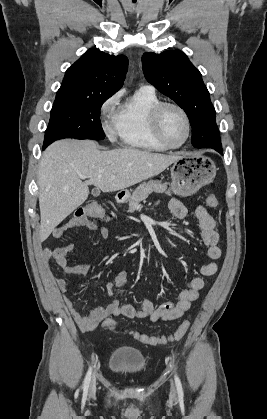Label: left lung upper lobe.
<instances>
[{"instance_id": "1", "label": "left lung upper lobe", "mask_w": 267, "mask_h": 419, "mask_svg": "<svg viewBox=\"0 0 267 419\" xmlns=\"http://www.w3.org/2000/svg\"><path fill=\"white\" fill-rule=\"evenodd\" d=\"M145 78L161 93L175 101L188 115L192 126L191 142L203 148L211 139L221 146L215 122V109L202 75L180 50L152 52L142 56ZM213 136V137H209Z\"/></svg>"}]
</instances>
